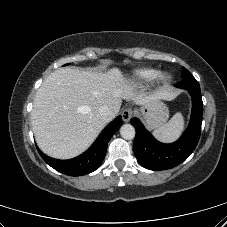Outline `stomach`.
Segmentation results:
<instances>
[{"label":"stomach","instance_id":"1","mask_svg":"<svg viewBox=\"0 0 227 227\" xmlns=\"http://www.w3.org/2000/svg\"><path fill=\"white\" fill-rule=\"evenodd\" d=\"M145 123L150 129L163 125L169 116L168 108L158 99L151 101L141 108Z\"/></svg>","mask_w":227,"mask_h":227}]
</instances>
